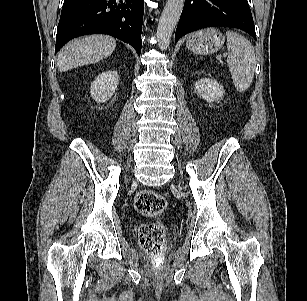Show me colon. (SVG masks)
I'll list each match as a JSON object with an SVG mask.
<instances>
[{"label":"colon","instance_id":"1","mask_svg":"<svg viewBox=\"0 0 307 301\" xmlns=\"http://www.w3.org/2000/svg\"><path fill=\"white\" fill-rule=\"evenodd\" d=\"M134 206L141 215L157 218L166 209V200L156 191L142 190L135 196ZM138 236L142 249L151 255H159L165 248L166 229L160 222L141 225Z\"/></svg>","mask_w":307,"mask_h":301}]
</instances>
